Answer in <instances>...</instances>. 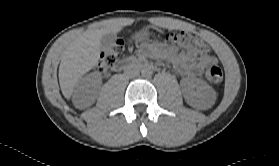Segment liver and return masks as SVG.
Here are the masks:
<instances>
[{
    "label": "liver",
    "mask_w": 279,
    "mask_h": 166,
    "mask_svg": "<svg viewBox=\"0 0 279 166\" xmlns=\"http://www.w3.org/2000/svg\"><path fill=\"white\" fill-rule=\"evenodd\" d=\"M122 29L120 19L106 20L103 27L87 30L68 44L59 66V83L65 98L71 97L80 78L99 61L101 38L108 33L117 34Z\"/></svg>",
    "instance_id": "liver-1"
}]
</instances>
